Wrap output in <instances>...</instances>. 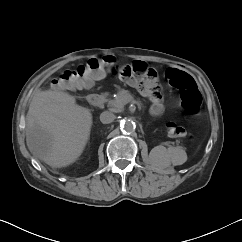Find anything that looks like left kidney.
Returning <instances> with one entry per match:
<instances>
[{
	"instance_id": "1",
	"label": "left kidney",
	"mask_w": 242,
	"mask_h": 242,
	"mask_svg": "<svg viewBox=\"0 0 242 242\" xmlns=\"http://www.w3.org/2000/svg\"><path fill=\"white\" fill-rule=\"evenodd\" d=\"M167 151H168V149H166L164 146H161V145L154 147L150 153L153 162L160 166L169 165L171 162L170 163L168 161L162 162V160H161ZM178 154L181 156V158L176 159V160H174V162H172L175 165L183 164L187 160L185 151H183L182 149H178L176 151V155H178Z\"/></svg>"
}]
</instances>
